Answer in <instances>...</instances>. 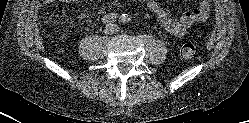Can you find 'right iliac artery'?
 I'll return each mask as SVG.
<instances>
[{
  "label": "right iliac artery",
  "instance_id": "obj_1",
  "mask_svg": "<svg viewBox=\"0 0 249 123\" xmlns=\"http://www.w3.org/2000/svg\"><path fill=\"white\" fill-rule=\"evenodd\" d=\"M117 14L116 13H109V14H106L103 18H102V21L103 23L105 24H112L116 21L117 19Z\"/></svg>",
  "mask_w": 249,
  "mask_h": 123
}]
</instances>
